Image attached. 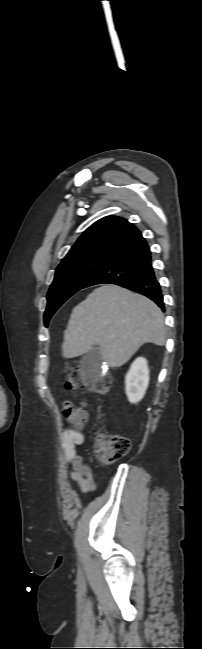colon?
Returning a JSON list of instances; mask_svg holds the SVG:
<instances>
[{
    "mask_svg": "<svg viewBox=\"0 0 202 649\" xmlns=\"http://www.w3.org/2000/svg\"><path fill=\"white\" fill-rule=\"evenodd\" d=\"M112 380L108 375L96 379L85 377L78 370H71L66 379L68 390L87 389L88 391L107 395L111 391ZM64 416L69 419L76 428L82 429L88 420V413L84 408L77 407L72 401L65 400L62 403ZM130 449V441L127 437L117 434H99L94 444V453L97 459L109 465L124 457Z\"/></svg>",
    "mask_w": 202,
    "mask_h": 649,
    "instance_id": "obj_1",
    "label": "colon"
}]
</instances>
